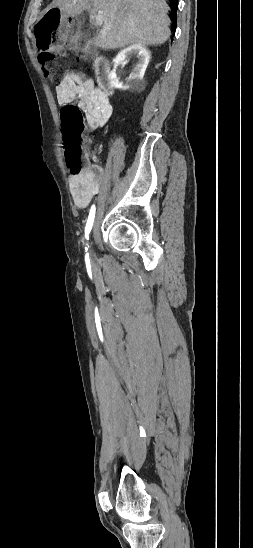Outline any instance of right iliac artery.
Returning <instances> with one entry per match:
<instances>
[{"mask_svg": "<svg viewBox=\"0 0 253 548\" xmlns=\"http://www.w3.org/2000/svg\"><path fill=\"white\" fill-rule=\"evenodd\" d=\"M94 217H95V205H92V207L90 209L89 217H88V220H87V224H86V227H85V237H86L87 240L89 239V233H90V231L92 229V226H93ZM85 249L87 251V248H85ZM86 256H88V253L86 254Z\"/></svg>", "mask_w": 253, "mask_h": 548, "instance_id": "82829eb1", "label": "right iliac artery"}]
</instances>
